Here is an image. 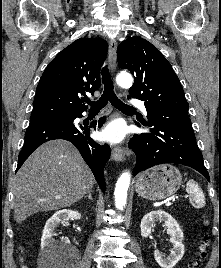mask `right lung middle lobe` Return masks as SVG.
<instances>
[{"mask_svg": "<svg viewBox=\"0 0 221 268\" xmlns=\"http://www.w3.org/2000/svg\"><path fill=\"white\" fill-rule=\"evenodd\" d=\"M72 118H75V117H70V118H62V119H72Z\"/></svg>", "mask_w": 221, "mask_h": 268, "instance_id": "right-lung-middle-lobe-1", "label": "right lung middle lobe"}]
</instances>
